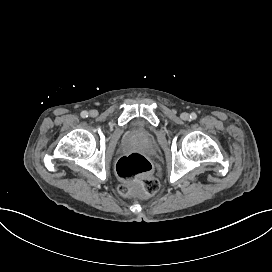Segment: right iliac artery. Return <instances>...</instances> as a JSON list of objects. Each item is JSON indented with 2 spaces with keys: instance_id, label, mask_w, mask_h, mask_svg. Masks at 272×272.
<instances>
[{
  "instance_id": "1",
  "label": "right iliac artery",
  "mask_w": 272,
  "mask_h": 272,
  "mask_svg": "<svg viewBox=\"0 0 272 272\" xmlns=\"http://www.w3.org/2000/svg\"><path fill=\"white\" fill-rule=\"evenodd\" d=\"M81 117H82V118L88 117V112H87V111H82V112H81Z\"/></svg>"
}]
</instances>
